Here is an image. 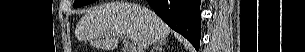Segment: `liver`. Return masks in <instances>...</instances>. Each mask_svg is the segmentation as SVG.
I'll list each match as a JSON object with an SVG mask.
<instances>
[{
  "mask_svg": "<svg viewBox=\"0 0 305 52\" xmlns=\"http://www.w3.org/2000/svg\"><path fill=\"white\" fill-rule=\"evenodd\" d=\"M76 31L81 39L91 40L97 48L113 50L119 38L126 37L139 50L143 43L165 41L171 29L150 9L116 1L89 9Z\"/></svg>",
  "mask_w": 305,
  "mask_h": 52,
  "instance_id": "1",
  "label": "liver"
}]
</instances>
